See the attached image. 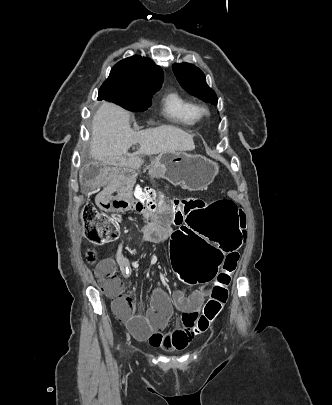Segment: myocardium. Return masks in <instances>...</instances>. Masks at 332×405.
Segmentation results:
<instances>
[{"instance_id": "1", "label": "myocardium", "mask_w": 332, "mask_h": 405, "mask_svg": "<svg viewBox=\"0 0 332 405\" xmlns=\"http://www.w3.org/2000/svg\"><path fill=\"white\" fill-rule=\"evenodd\" d=\"M197 110L200 117L206 116L208 114V108L203 104L198 105Z\"/></svg>"}]
</instances>
